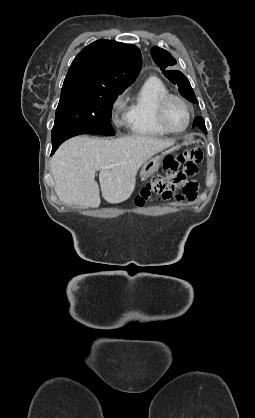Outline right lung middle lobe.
I'll return each mask as SVG.
<instances>
[{
    "mask_svg": "<svg viewBox=\"0 0 255 418\" xmlns=\"http://www.w3.org/2000/svg\"><path fill=\"white\" fill-rule=\"evenodd\" d=\"M123 91L104 87L63 86L52 139L71 133L113 136L111 110L115 99Z\"/></svg>",
    "mask_w": 255,
    "mask_h": 418,
    "instance_id": "right-lung-middle-lobe-1",
    "label": "right lung middle lobe"
}]
</instances>
